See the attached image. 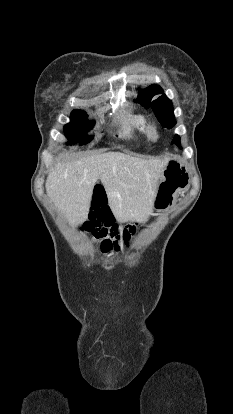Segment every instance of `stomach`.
I'll use <instances>...</instances> for the list:
<instances>
[{
	"instance_id": "0dacf381",
	"label": "stomach",
	"mask_w": 233,
	"mask_h": 414,
	"mask_svg": "<svg viewBox=\"0 0 233 414\" xmlns=\"http://www.w3.org/2000/svg\"><path fill=\"white\" fill-rule=\"evenodd\" d=\"M189 185L187 166L178 157H171L158 183L153 207L163 209L170 205L176 195Z\"/></svg>"
}]
</instances>
